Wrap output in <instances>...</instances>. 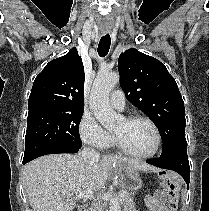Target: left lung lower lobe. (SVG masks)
Returning <instances> with one entry per match:
<instances>
[{"label": "left lung lower lobe", "instance_id": "1", "mask_svg": "<svg viewBox=\"0 0 209 211\" xmlns=\"http://www.w3.org/2000/svg\"><path fill=\"white\" fill-rule=\"evenodd\" d=\"M147 163L179 173L187 183V186H189L190 167L187 156V148L179 149L167 156L148 160Z\"/></svg>", "mask_w": 209, "mask_h": 211}]
</instances>
